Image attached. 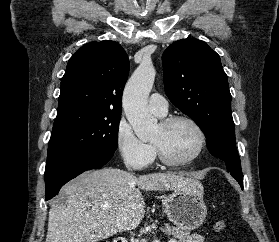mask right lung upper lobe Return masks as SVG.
<instances>
[{
    "instance_id": "cb5924a9",
    "label": "right lung upper lobe",
    "mask_w": 279,
    "mask_h": 242,
    "mask_svg": "<svg viewBox=\"0 0 279 242\" xmlns=\"http://www.w3.org/2000/svg\"><path fill=\"white\" fill-rule=\"evenodd\" d=\"M128 72V57L119 43L104 40L85 44L68 62L58 114L80 109L121 114Z\"/></svg>"
}]
</instances>
